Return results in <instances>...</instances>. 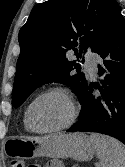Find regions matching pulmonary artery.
I'll return each instance as SVG.
<instances>
[{"label": "pulmonary artery", "instance_id": "pulmonary-artery-1", "mask_svg": "<svg viewBox=\"0 0 125 167\" xmlns=\"http://www.w3.org/2000/svg\"><path fill=\"white\" fill-rule=\"evenodd\" d=\"M86 67L92 76H96V58L93 55H88L86 58Z\"/></svg>", "mask_w": 125, "mask_h": 167}]
</instances>
